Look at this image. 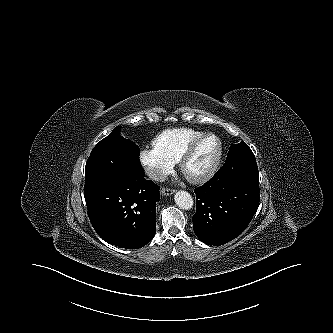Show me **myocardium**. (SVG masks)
Instances as JSON below:
<instances>
[{
	"instance_id": "1",
	"label": "myocardium",
	"mask_w": 333,
	"mask_h": 333,
	"mask_svg": "<svg viewBox=\"0 0 333 333\" xmlns=\"http://www.w3.org/2000/svg\"><path fill=\"white\" fill-rule=\"evenodd\" d=\"M209 138H213L217 141V151H216V154H215L212 162L208 165V167L205 170H203L202 172H200L198 174H195V175L187 174V171H186L187 164L189 163L191 158L194 156V154L196 153L199 146L206 139H209ZM222 154H223V145H222L220 138L213 133H204L203 135H201L200 137L195 139L186 148V150L182 154L180 161H179L180 170L183 173V175L192 183L205 182L209 178H211L213 176V174L216 172V170L218 169L220 162H221Z\"/></svg>"
}]
</instances>
